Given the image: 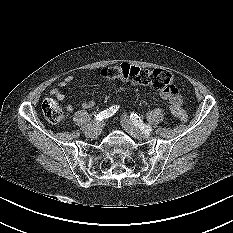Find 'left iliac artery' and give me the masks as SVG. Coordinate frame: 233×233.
Segmentation results:
<instances>
[{
  "instance_id": "44dca946",
  "label": "left iliac artery",
  "mask_w": 233,
  "mask_h": 233,
  "mask_svg": "<svg viewBox=\"0 0 233 233\" xmlns=\"http://www.w3.org/2000/svg\"><path fill=\"white\" fill-rule=\"evenodd\" d=\"M130 119L134 123L136 127H138L140 130L149 133L152 131V127L149 125H146L143 123V121L140 119V117L136 113H131Z\"/></svg>"
}]
</instances>
